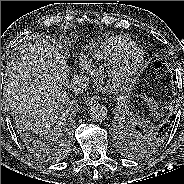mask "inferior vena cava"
Segmentation results:
<instances>
[{
    "instance_id": "1",
    "label": "inferior vena cava",
    "mask_w": 184,
    "mask_h": 184,
    "mask_svg": "<svg viewBox=\"0 0 184 184\" xmlns=\"http://www.w3.org/2000/svg\"><path fill=\"white\" fill-rule=\"evenodd\" d=\"M88 86V80L82 75H74L70 80V88L74 93H82Z\"/></svg>"
}]
</instances>
